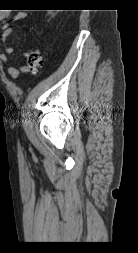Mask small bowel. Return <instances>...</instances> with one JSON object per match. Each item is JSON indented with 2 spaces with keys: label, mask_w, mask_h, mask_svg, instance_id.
Wrapping results in <instances>:
<instances>
[{
  "label": "small bowel",
  "mask_w": 138,
  "mask_h": 253,
  "mask_svg": "<svg viewBox=\"0 0 138 253\" xmlns=\"http://www.w3.org/2000/svg\"><path fill=\"white\" fill-rule=\"evenodd\" d=\"M25 17H26V14L23 12H20L14 16V18L11 22L3 24L1 27V40L4 44V53L0 54V61L4 65H7V63H8V56L7 55L13 53V51H14L13 46L6 43L7 38L12 33L13 23L16 21L22 20ZM20 71H21V68L6 66V72L10 75V77L12 79H17Z\"/></svg>",
  "instance_id": "obj_1"
}]
</instances>
